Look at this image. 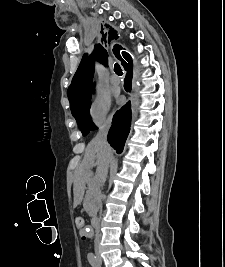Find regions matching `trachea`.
Segmentation results:
<instances>
[{
    "label": "trachea",
    "mask_w": 225,
    "mask_h": 267,
    "mask_svg": "<svg viewBox=\"0 0 225 267\" xmlns=\"http://www.w3.org/2000/svg\"><path fill=\"white\" fill-rule=\"evenodd\" d=\"M114 71H115V73L118 74V75H122V74H123L122 69H121V67H120V65H119L118 63H116V64L114 65Z\"/></svg>",
    "instance_id": "trachea-1"
}]
</instances>
